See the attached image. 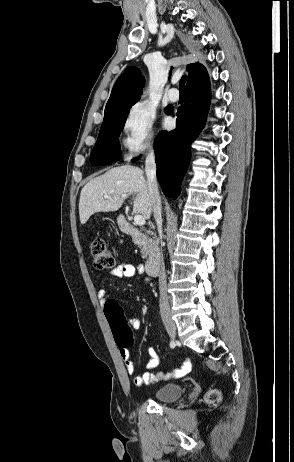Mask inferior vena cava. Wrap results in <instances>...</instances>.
Masks as SVG:
<instances>
[{"label":"inferior vena cava","mask_w":294,"mask_h":462,"mask_svg":"<svg viewBox=\"0 0 294 462\" xmlns=\"http://www.w3.org/2000/svg\"><path fill=\"white\" fill-rule=\"evenodd\" d=\"M145 173L147 176V181L149 185L150 197L152 201V212L154 215L155 222L157 224L158 230L162 231V215H161V199L159 195L157 179H156V163L154 151L150 150L147 154L145 161ZM159 290H160V299L159 307L161 315L170 313V306L167 296V287H166V275L164 265L162 263L161 269L159 272Z\"/></svg>","instance_id":"obj_1"}]
</instances>
